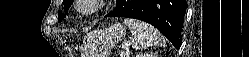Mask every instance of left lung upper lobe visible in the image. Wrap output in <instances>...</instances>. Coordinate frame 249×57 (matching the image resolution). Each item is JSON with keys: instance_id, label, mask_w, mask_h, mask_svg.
I'll use <instances>...</instances> for the list:
<instances>
[{"instance_id": "left-lung-upper-lobe-1", "label": "left lung upper lobe", "mask_w": 249, "mask_h": 57, "mask_svg": "<svg viewBox=\"0 0 249 57\" xmlns=\"http://www.w3.org/2000/svg\"><path fill=\"white\" fill-rule=\"evenodd\" d=\"M64 3V11L66 14H68V8L70 7V5L73 3V0H63ZM64 14H62L61 12H58V21L60 22L63 18H64Z\"/></svg>"}]
</instances>
